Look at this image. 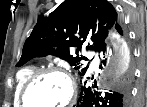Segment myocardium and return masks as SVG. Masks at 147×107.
<instances>
[{"mask_svg":"<svg viewBox=\"0 0 147 107\" xmlns=\"http://www.w3.org/2000/svg\"><path fill=\"white\" fill-rule=\"evenodd\" d=\"M49 74L60 75L61 77L66 79V81L69 83V86H70V94L68 99L61 106H57V107H68L75 101L77 96V85L75 80L60 67H46V68H42V69H38L34 71V73L26 81L25 85L23 86L21 90L20 98H19V101L22 107H30L27 103L28 91L37 80Z\"/></svg>","mask_w":147,"mask_h":107,"instance_id":"1","label":"myocardium"}]
</instances>
